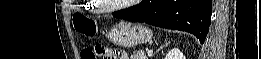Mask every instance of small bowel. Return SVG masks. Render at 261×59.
<instances>
[{
  "mask_svg": "<svg viewBox=\"0 0 261 59\" xmlns=\"http://www.w3.org/2000/svg\"><path fill=\"white\" fill-rule=\"evenodd\" d=\"M117 53H118V56L117 58H120V59H128L127 55L125 52L121 51V50H115Z\"/></svg>",
  "mask_w": 261,
  "mask_h": 59,
  "instance_id": "1",
  "label": "small bowel"
}]
</instances>
